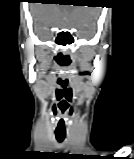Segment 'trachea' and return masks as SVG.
<instances>
[{
    "label": "trachea",
    "instance_id": "3493384b",
    "mask_svg": "<svg viewBox=\"0 0 134 159\" xmlns=\"http://www.w3.org/2000/svg\"><path fill=\"white\" fill-rule=\"evenodd\" d=\"M56 140L61 143L64 141L66 134L65 133H55Z\"/></svg>",
    "mask_w": 134,
    "mask_h": 159
}]
</instances>
